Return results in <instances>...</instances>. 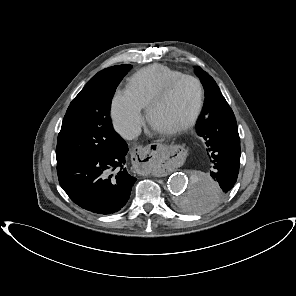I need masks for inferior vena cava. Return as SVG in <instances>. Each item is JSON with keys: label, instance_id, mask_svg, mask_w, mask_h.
Returning <instances> with one entry per match:
<instances>
[{"label": "inferior vena cava", "instance_id": "inferior-vena-cava-1", "mask_svg": "<svg viewBox=\"0 0 296 296\" xmlns=\"http://www.w3.org/2000/svg\"><path fill=\"white\" fill-rule=\"evenodd\" d=\"M141 133V128L140 126L138 125H132V126H129L127 128H125L121 135L123 138L125 139H128V140H131V139H134L136 137H138Z\"/></svg>", "mask_w": 296, "mask_h": 296}]
</instances>
